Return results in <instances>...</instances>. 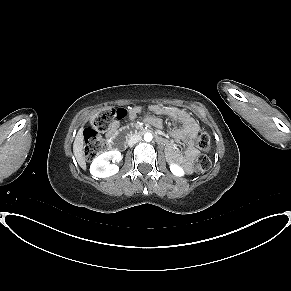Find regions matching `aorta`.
<instances>
[{
	"instance_id": "obj_1",
	"label": "aorta",
	"mask_w": 291,
	"mask_h": 291,
	"mask_svg": "<svg viewBox=\"0 0 291 291\" xmlns=\"http://www.w3.org/2000/svg\"><path fill=\"white\" fill-rule=\"evenodd\" d=\"M152 138H153V136H152L151 133L147 132V133L144 134V140H145L146 142H150V141H152Z\"/></svg>"
}]
</instances>
